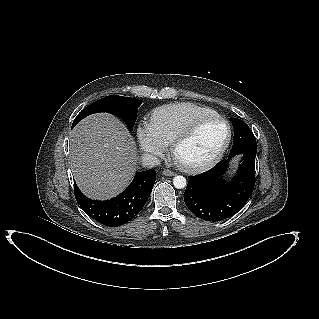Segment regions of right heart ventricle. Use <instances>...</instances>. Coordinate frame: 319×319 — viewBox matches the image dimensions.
<instances>
[{"instance_id": "1", "label": "right heart ventricle", "mask_w": 319, "mask_h": 319, "mask_svg": "<svg viewBox=\"0 0 319 319\" xmlns=\"http://www.w3.org/2000/svg\"><path fill=\"white\" fill-rule=\"evenodd\" d=\"M212 109L190 102L166 104L150 113L149 123L168 145L194 119L215 114Z\"/></svg>"}]
</instances>
